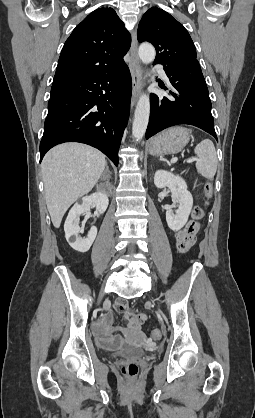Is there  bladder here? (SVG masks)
<instances>
[{
  "label": "bladder",
  "mask_w": 255,
  "mask_h": 418,
  "mask_svg": "<svg viewBox=\"0 0 255 418\" xmlns=\"http://www.w3.org/2000/svg\"><path fill=\"white\" fill-rule=\"evenodd\" d=\"M143 351L139 350V349H127L121 352H118L116 355L117 356H141L143 355Z\"/></svg>",
  "instance_id": "obj_1"
}]
</instances>
